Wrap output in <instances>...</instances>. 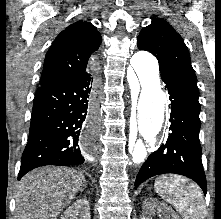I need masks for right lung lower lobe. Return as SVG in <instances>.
<instances>
[{"label": "right lung lower lobe", "mask_w": 221, "mask_h": 219, "mask_svg": "<svg viewBox=\"0 0 221 219\" xmlns=\"http://www.w3.org/2000/svg\"><path fill=\"white\" fill-rule=\"evenodd\" d=\"M94 89L90 70L37 89L18 180L36 167L85 161L80 145L86 127L95 124ZM88 136L93 144L95 133ZM90 150L93 152V147Z\"/></svg>", "instance_id": "98d812e1"}]
</instances>
